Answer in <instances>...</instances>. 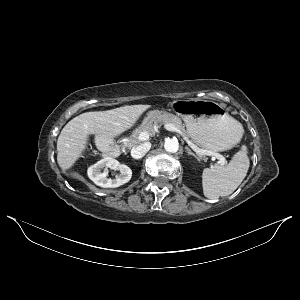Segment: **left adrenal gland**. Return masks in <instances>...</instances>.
<instances>
[{"label":"left adrenal gland","mask_w":300,"mask_h":300,"mask_svg":"<svg viewBox=\"0 0 300 300\" xmlns=\"http://www.w3.org/2000/svg\"><path fill=\"white\" fill-rule=\"evenodd\" d=\"M185 149H186L188 155H191V156L195 157L198 161H200L199 157L197 155H195L188 146H186Z\"/></svg>","instance_id":"a2214340"}]
</instances>
